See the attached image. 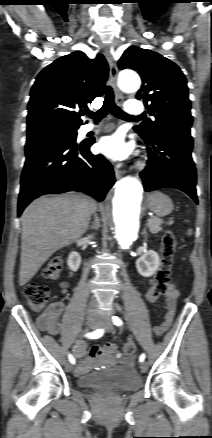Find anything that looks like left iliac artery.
<instances>
[{"label": "left iliac artery", "instance_id": "left-iliac-artery-1", "mask_svg": "<svg viewBox=\"0 0 212 438\" xmlns=\"http://www.w3.org/2000/svg\"><path fill=\"white\" fill-rule=\"evenodd\" d=\"M112 321H113L114 325H116V326H121L123 324L122 320L119 317H117V316H113L112 317ZM145 357L146 356H145L144 353L141 354L140 357H139V361L143 362L145 360Z\"/></svg>", "mask_w": 212, "mask_h": 438}]
</instances>
